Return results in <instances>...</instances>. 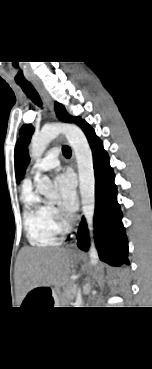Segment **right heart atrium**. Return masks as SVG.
I'll list each match as a JSON object with an SVG mask.
<instances>
[{
  "mask_svg": "<svg viewBox=\"0 0 152 369\" xmlns=\"http://www.w3.org/2000/svg\"><path fill=\"white\" fill-rule=\"evenodd\" d=\"M52 214H53L54 219H55V217H56V215H57V212H56V210H55V209H53V208H52Z\"/></svg>",
  "mask_w": 152,
  "mask_h": 369,
  "instance_id": "1",
  "label": "right heart atrium"
}]
</instances>
